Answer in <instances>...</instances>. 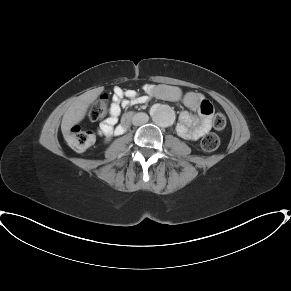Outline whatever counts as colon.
<instances>
[{"label": "colon", "instance_id": "colon-1", "mask_svg": "<svg viewBox=\"0 0 291 291\" xmlns=\"http://www.w3.org/2000/svg\"><path fill=\"white\" fill-rule=\"evenodd\" d=\"M109 94H103L97 99L89 110V117L93 121H99L106 117L108 113ZM205 113H210V107H207ZM213 125L216 129H223L226 126V118L222 113H217L213 117ZM68 143L76 151H83L94 141V133L82 127H75L71 130L68 137ZM220 145V139L215 134H209L202 138L201 147L206 152L215 151Z\"/></svg>", "mask_w": 291, "mask_h": 291}]
</instances>
